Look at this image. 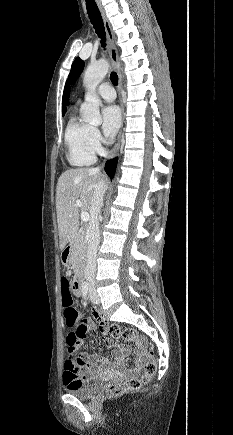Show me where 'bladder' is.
Returning <instances> with one entry per match:
<instances>
[{"instance_id":"1","label":"bladder","mask_w":233,"mask_h":435,"mask_svg":"<svg viewBox=\"0 0 233 435\" xmlns=\"http://www.w3.org/2000/svg\"><path fill=\"white\" fill-rule=\"evenodd\" d=\"M100 387L101 386L98 382L92 381L85 383L82 386L71 389L68 391V393L78 398L85 399L93 396L96 392L100 390Z\"/></svg>"}]
</instances>
